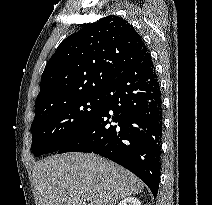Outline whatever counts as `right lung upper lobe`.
<instances>
[{"mask_svg":"<svg viewBox=\"0 0 212 205\" xmlns=\"http://www.w3.org/2000/svg\"><path fill=\"white\" fill-rule=\"evenodd\" d=\"M148 53L132 25L118 16L85 24L48 61L35 116L80 97L101 93L129 65Z\"/></svg>","mask_w":212,"mask_h":205,"instance_id":"cb5924a9","label":"right lung upper lobe"}]
</instances>
